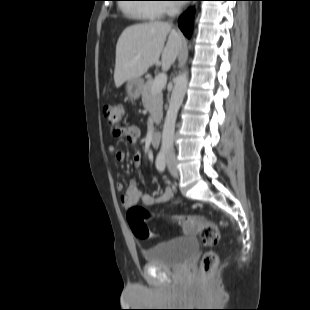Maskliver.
I'll return each mask as SVG.
<instances>
[{
	"label": "liver",
	"mask_w": 310,
	"mask_h": 310,
	"mask_svg": "<svg viewBox=\"0 0 310 310\" xmlns=\"http://www.w3.org/2000/svg\"><path fill=\"white\" fill-rule=\"evenodd\" d=\"M167 43L165 45L166 38ZM182 47V36L167 22L154 21L124 29L116 45L114 82L120 87L125 81L143 76L158 63L168 70Z\"/></svg>",
	"instance_id": "1"
}]
</instances>
